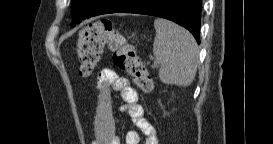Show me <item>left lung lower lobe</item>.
<instances>
[{"label":"left lung lower lobe","mask_w":273,"mask_h":144,"mask_svg":"<svg viewBox=\"0 0 273 144\" xmlns=\"http://www.w3.org/2000/svg\"><path fill=\"white\" fill-rule=\"evenodd\" d=\"M85 1L87 5L90 0ZM202 0H96L91 8L72 15L71 26L82 20L107 13H139L172 20L188 29L200 43Z\"/></svg>","instance_id":"obj_1"}]
</instances>
